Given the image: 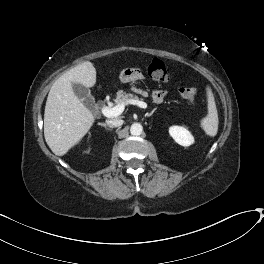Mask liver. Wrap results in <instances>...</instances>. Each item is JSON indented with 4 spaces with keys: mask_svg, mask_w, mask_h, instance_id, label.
Instances as JSON below:
<instances>
[{
    "mask_svg": "<svg viewBox=\"0 0 264 264\" xmlns=\"http://www.w3.org/2000/svg\"><path fill=\"white\" fill-rule=\"evenodd\" d=\"M85 87L96 84V69L85 61L63 75L52 85L44 112V136L55 155L63 156L80 142L95 122L91 111L74 93L72 84Z\"/></svg>",
    "mask_w": 264,
    "mask_h": 264,
    "instance_id": "liver-1",
    "label": "liver"
}]
</instances>
